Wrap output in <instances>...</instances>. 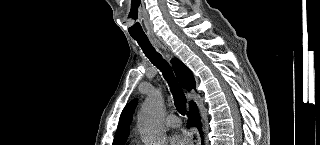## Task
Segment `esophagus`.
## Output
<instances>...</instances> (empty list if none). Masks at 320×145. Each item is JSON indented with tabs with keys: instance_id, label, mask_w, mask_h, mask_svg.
I'll use <instances>...</instances> for the list:
<instances>
[{
	"instance_id": "1",
	"label": "esophagus",
	"mask_w": 320,
	"mask_h": 145,
	"mask_svg": "<svg viewBox=\"0 0 320 145\" xmlns=\"http://www.w3.org/2000/svg\"><path fill=\"white\" fill-rule=\"evenodd\" d=\"M155 43H158L160 45V43L155 39L154 40ZM188 138H189V144L190 145H199L200 144V137L199 134L197 132V129L192 127L189 130L188 133Z\"/></svg>"
}]
</instances>
